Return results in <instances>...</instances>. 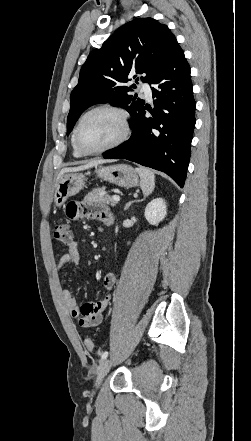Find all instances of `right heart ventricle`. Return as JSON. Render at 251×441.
Instances as JSON below:
<instances>
[{
    "label": "right heart ventricle",
    "instance_id": "obj_1",
    "mask_svg": "<svg viewBox=\"0 0 251 441\" xmlns=\"http://www.w3.org/2000/svg\"><path fill=\"white\" fill-rule=\"evenodd\" d=\"M71 144H72V148H73V154L75 157L80 158V157L84 156L75 146L74 133L72 134V137H71Z\"/></svg>",
    "mask_w": 251,
    "mask_h": 441
}]
</instances>
